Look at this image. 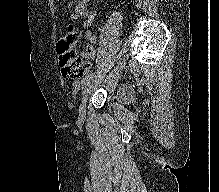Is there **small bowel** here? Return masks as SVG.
<instances>
[{"instance_id":"c3829d8e","label":"small bowel","mask_w":219,"mask_h":192,"mask_svg":"<svg viewBox=\"0 0 219 192\" xmlns=\"http://www.w3.org/2000/svg\"><path fill=\"white\" fill-rule=\"evenodd\" d=\"M89 0H78L72 16L81 19L80 26L82 28H89L97 16V11L88 10ZM86 39L88 41L85 49L81 52V56L86 60V67L88 68L91 61L96 57L93 46L97 43V38L91 30L86 32Z\"/></svg>"}]
</instances>
